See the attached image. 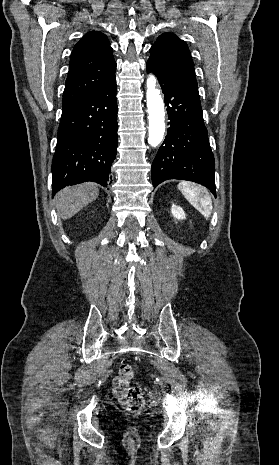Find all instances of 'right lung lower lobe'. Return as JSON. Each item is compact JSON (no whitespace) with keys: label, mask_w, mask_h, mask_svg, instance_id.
<instances>
[{"label":"right lung lower lobe","mask_w":279,"mask_h":465,"mask_svg":"<svg viewBox=\"0 0 279 465\" xmlns=\"http://www.w3.org/2000/svg\"><path fill=\"white\" fill-rule=\"evenodd\" d=\"M115 75L87 99L62 112L52 160V195L94 181L107 187L117 151Z\"/></svg>","instance_id":"obj_1"}]
</instances>
